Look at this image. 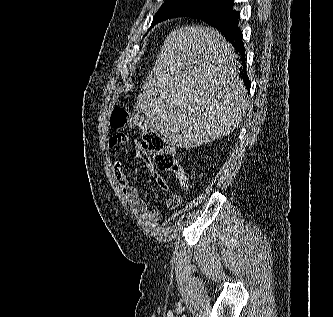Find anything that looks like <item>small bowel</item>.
<instances>
[{"mask_svg":"<svg viewBox=\"0 0 333 317\" xmlns=\"http://www.w3.org/2000/svg\"><path fill=\"white\" fill-rule=\"evenodd\" d=\"M126 142H127V136L125 134L116 133L109 138L108 148L111 150L116 147L124 145ZM133 145H134L135 155L138 158L144 160L147 163L148 167L151 168L152 176L155 179L158 187L164 191H168L169 188L166 180L153 168L140 142L137 139H134ZM114 175L133 213L136 216L147 220L149 223L158 222L161 218L160 212L148 209L146 202L140 196L138 187L132 182H130L123 173L121 160H117L114 164ZM181 201L182 197L180 195L171 194L166 199V206L170 209H174L180 205Z\"/></svg>","mask_w":333,"mask_h":317,"instance_id":"c3829d8e","label":"small bowel"}]
</instances>
